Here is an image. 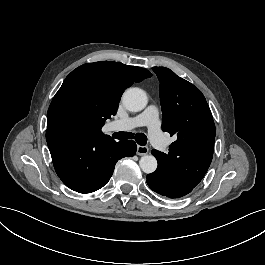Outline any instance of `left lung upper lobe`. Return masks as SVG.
<instances>
[{"instance_id": "obj_1", "label": "left lung upper lobe", "mask_w": 265, "mask_h": 265, "mask_svg": "<svg viewBox=\"0 0 265 265\" xmlns=\"http://www.w3.org/2000/svg\"><path fill=\"white\" fill-rule=\"evenodd\" d=\"M160 85L162 129L177 140L165 154L152 150L158 163L194 186L206 174L213 157L215 124L201 91L165 67H153Z\"/></svg>"}]
</instances>
